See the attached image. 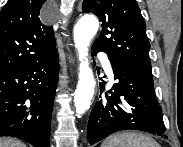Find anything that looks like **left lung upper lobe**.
Segmentation results:
<instances>
[{
    "label": "left lung upper lobe",
    "instance_id": "left-lung-upper-lobe-1",
    "mask_svg": "<svg viewBox=\"0 0 183 147\" xmlns=\"http://www.w3.org/2000/svg\"><path fill=\"white\" fill-rule=\"evenodd\" d=\"M82 11L94 13L102 22V31L92 47L152 74L146 24L135 0H84Z\"/></svg>",
    "mask_w": 183,
    "mask_h": 147
}]
</instances>
